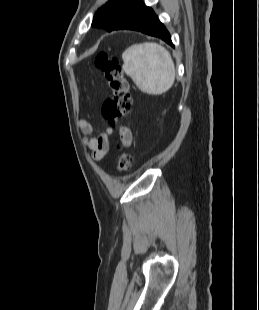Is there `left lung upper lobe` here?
<instances>
[{
	"mask_svg": "<svg viewBox=\"0 0 259 310\" xmlns=\"http://www.w3.org/2000/svg\"><path fill=\"white\" fill-rule=\"evenodd\" d=\"M142 0H110L94 15L92 26L112 31L133 9L143 6Z\"/></svg>",
	"mask_w": 259,
	"mask_h": 310,
	"instance_id": "5c2ea615",
	"label": "left lung upper lobe"
}]
</instances>
